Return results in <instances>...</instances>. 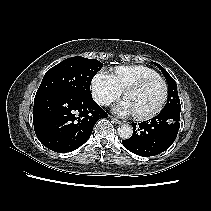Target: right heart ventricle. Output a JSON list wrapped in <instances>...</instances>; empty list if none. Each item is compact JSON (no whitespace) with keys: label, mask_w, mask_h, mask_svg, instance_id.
Returning <instances> with one entry per match:
<instances>
[{"label":"right heart ventricle","mask_w":211,"mask_h":211,"mask_svg":"<svg viewBox=\"0 0 211 211\" xmlns=\"http://www.w3.org/2000/svg\"><path fill=\"white\" fill-rule=\"evenodd\" d=\"M113 76L123 91L141 79L158 77L159 74L154 69L144 65H123L114 69Z\"/></svg>","instance_id":"right-heart-ventricle-1"}]
</instances>
